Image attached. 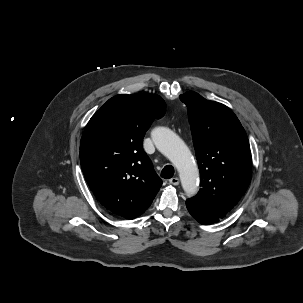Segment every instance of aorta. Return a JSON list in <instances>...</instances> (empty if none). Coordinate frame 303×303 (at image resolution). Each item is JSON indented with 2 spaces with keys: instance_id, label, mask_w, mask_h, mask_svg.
Returning <instances> with one entry per match:
<instances>
[{
  "instance_id": "1",
  "label": "aorta",
  "mask_w": 303,
  "mask_h": 303,
  "mask_svg": "<svg viewBox=\"0 0 303 303\" xmlns=\"http://www.w3.org/2000/svg\"><path fill=\"white\" fill-rule=\"evenodd\" d=\"M151 137L157 149L176 166L185 193L188 196L196 194L199 184L198 168L186 144L166 127L153 129Z\"/></svg>"
}]
</instances>
